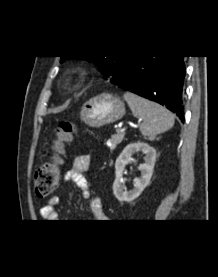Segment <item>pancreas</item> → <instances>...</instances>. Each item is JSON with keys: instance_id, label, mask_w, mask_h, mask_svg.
I'll return each mask as SVG.
<instances>
[{"instance_id": "pancreas-1", "label": "pancreas", "mask_w": 218, "mask_h": 277, "mask_svg": "<svg viewBox=\"0 0 218 277\" xmlns=\"http://www.w3.org/2000/svg\"><path fill=\"white\" fill-rule=\"evenodd\" d=\"M125 133H118L113 135L112 138L107 142V147L110 149H115L124 139Z\"/></svg>"}]
</instances>
